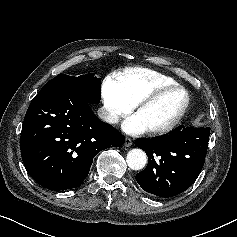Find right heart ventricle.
<instances>
[{"mask_svg": "<svg viewBox=\"0 0 237 237\" xmlns=\"http://www.w3.org/2000/svg\"><path fill=\"white\" fill-rule=\"evenodd\" d=\"M113 77L123 95L134 105L159 87L177 83L170 76L146 68L125 69Z\"/></svg>", "mask_w": 237, "mask_h": 237, "instance_id": "1", "label": "right heart ventricle"}]
</instances>
